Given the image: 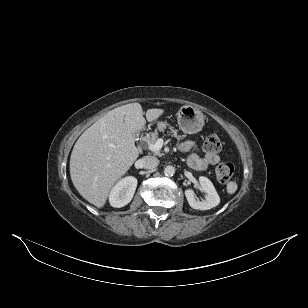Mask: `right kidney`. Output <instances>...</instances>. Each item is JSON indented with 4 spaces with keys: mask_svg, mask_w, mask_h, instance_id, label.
<instances>
[{
    "mask_svg": "<svg viewBox=\"0 0 308 308\" xmlns=\"http://www.w3.org/2000/svg\"><path fill=\"white\" fill-rule=\"evenodd\" d=\"M137 187V179L132 176L119 181L111 190L109 202L112 207L121 208L131 202Z\"/></svg>",
    "mask_w": 308,
    "mask_h": 308,
    "instance_id": "ca27d5eb",
    "label": "right kidney"
}]
</instances>
